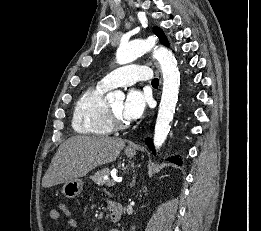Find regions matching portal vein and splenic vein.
Masks as SVG:
<instances>
[{
    "instance_id": "obj_1",
    "label": "portal vein and splenic vein",
    "mask_w": 261,
    "mask_h": 231,
    "mask_svg": "<svg viewBox=\"0 0 261 231\" xmlns=\"http://www.w3.org/2000/svg\"><path fill=\"white\" fill-rule=\"evenodd\" d=\"M105 179L107 180L106 184L109 187L114 186L117 182H121V179L120 180H117V179L109 180L108 177H105Z\"/></svg>"
}]
</instances>
